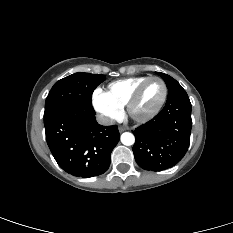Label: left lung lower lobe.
Returning <instances> with one entry per match:
<instances>
[{
  "mask_svg": "<svg viewBox=\"0 0 233 233\" xmlns=\"http://www.w3.org/2000/svg\"><path fill=\"white\" fill-rule=\"evenodd\" d=\"M191 127V103L187 93L168 97L159 114L133 131L137 164L151 171L176 165L188 150Z\"/></svg>",
  "mask_w": 233,
  "mask_h": 233,
  "instance_id": "1",
  "label": "left lung lower lobe"
}]
</instances>
